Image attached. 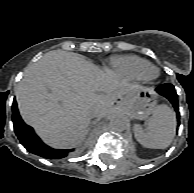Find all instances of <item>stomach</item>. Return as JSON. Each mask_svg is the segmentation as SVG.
Wrapping results in <instances>:
<instances>
[{"instance_id":"stomach-1","label":"stomach","mask_w":194,"mask_h":193,"mask_svg":"<svg viewBox=\"0 0 194 193\" xmlns=\"http://www.w3.org/2000/svg\"><path fill=\"white\" fill-rule=\"evenodd\" d=\"M122 112L134 119H146L155 108V95L152 89L142 88L135 94L118 101Z\"/></svg>"}]
</instances>
